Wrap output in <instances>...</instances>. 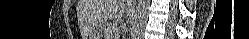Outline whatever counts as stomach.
<instances>
[{
  "mask_svg": "<svg viewBox=\"0 0 249 39\" xmlns=\"http://www.w3.org/2000/svg\"><path fill=\"white\" fill-rule=\"evenodd\" d=\"M103 25L96 26L90 33L91 38L100 39L102 36Z\"/></svg>",
  "mask_w": 249,
  "mask_h": 39,
  "instance_id": "obj_1",
  "label": "stomach"
}]
</instances>
